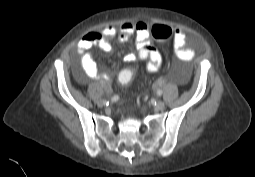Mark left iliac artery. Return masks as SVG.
<instances>
[{
  "mask_svg": "<svg viewBox=\"0 0 255 177\" xmlns=\"http://www.w3.org/2000/svg\"><path fill=\"white\" fill-rule=\"evenodd\" d=\"M157 95H159V96L162 95V90H160V89L157 90Z\"/></svg>",
  "mask_w": 255,
  "mask_h": 177,
  "instance_id": "44dca946",
  "label": "left iliac artery"
}]
</instances>
